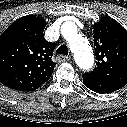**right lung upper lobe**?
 I'll use <instances>...</instances> for the list:
<instances>
[{
	"mask_svg": "<svg viewBox=\"0 0 127 127\" xmlns=\"http://www.w3.org/2000/svg\"><path fill=\"white\" fill-rule=\"evenodd\" d=\"M46 22L35 15L16 20L0 35V82L19 91H33L50 79L55 43L43 37Z\"/></svg>",
	"mask_w": 127,
	"mask_h": 127,
	"instance_id": "cb5924a9",
	"label": "right lung upper lobe"
}]
</instances>
